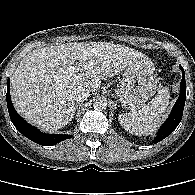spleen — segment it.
Segmentation results:
<instances>
[{
  "label": "spleen",
  "instance_id": "3e777b00",
  "mask_svg": "<svg viewBox=\"0 0 195 195\" xmlns=\"http://www.w3.org/2000/svg\"><path fill=\"white\" fill-rule=\"evenodd\" d=\"M169 88H162L141 110L119 115L121 126L131 134L147 136L159 127L169 104Z\"/></svg>",
  "mask_w": 195,
  "mask_h": 195
}]
</instances>
